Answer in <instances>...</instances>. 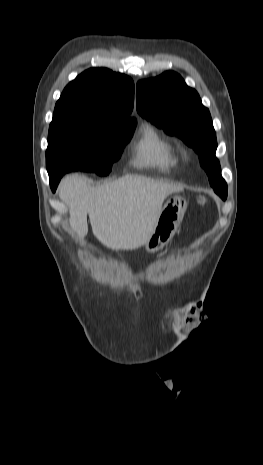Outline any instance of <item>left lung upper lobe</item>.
Listing matches in <instances>:
<instances>
[{
    "mask_svg": "<svg viewBox=\"0 0 263 465\" xmlns=\"http://www.w3.org/2000/svg\"><path fill=\"white\" fill-rule=\"evenodd\" d=\"M138 113L170 135H177L202 158H215L216 134L209 110L198 93L182 77L167 71L136 86ZM215 192L225 200L227 184L221 173L209 178Z\"/></svg>",
    "mask_w": 263,
    "mask_h": 465,
    "instance_id": "1",
    "label": "left lung upper lobe"
}]
</instances>
